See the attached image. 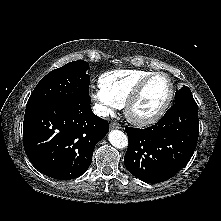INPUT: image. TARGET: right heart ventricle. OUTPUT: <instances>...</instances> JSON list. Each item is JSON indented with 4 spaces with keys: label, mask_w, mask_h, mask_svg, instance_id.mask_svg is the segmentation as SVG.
Instances as JSON below:
<instances>
[{
    "label": "right heart ventricle",
    "mask_w": 221,
    "mask_h": 221,
    "mask_svg": "<svg viewBox=\"0 0 221 221\" xmlns=\"http://www.w3.org/2000/svg\"><path fill=\"white\" fill-rule=\"evenodd\" d=\"M152 71L144 69H116L99 77V87L120 106L132 92L137 83Z\"/></svg>",
    "instance_id": "e07e8e85"
}]
</instances>
